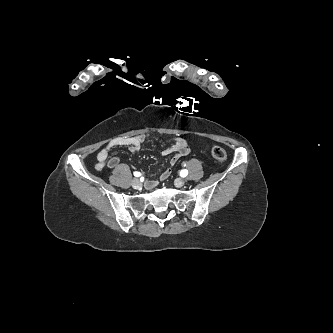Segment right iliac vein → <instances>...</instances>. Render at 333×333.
I'll use <instances>...</instances> for the list:
<instances>
[{
  "mask_svg": "<svg viewBox=\"0 0 333 333\" xmlns=\"http://www.w3.org/2000/svg\"><path fill=\"white\" fill-rule=\"evenodd\" d=\"M132 186H133L135 189L140 188V186H141V182L139 181V179L134 178V179L132 180Z\"/></svg>",
  "mask_w": 333,
  "mask_h": 333,
  "instance_id": "63e3f726",
  "label": "right iliac vein"
}]
</instances>
